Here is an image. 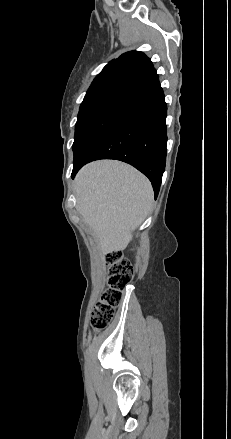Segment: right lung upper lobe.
Wrapping results in <instances>:
<instances>
[{
	"label": "right lung upper lobe",
	"mask_w": 231,
	"mask_h": 439,
	"mask_svg": "<svg viewBox=\"0 0 231 439\" xmlns=\"http://www.w3.org/2000/svg\"><path fill=\"white\" fill-rule=\"evenodd\" d=\"M152 62L142 52L131 51L110 61L96 76L82 104L113 95H136L158 83Z\"/></svg>",
	"instance_id": "obj_1"
}]
</instances>
